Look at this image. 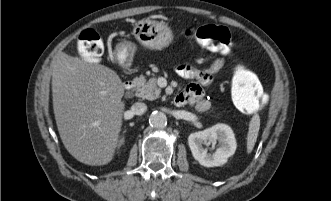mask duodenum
<instances>
[{"mask_svg": "<svg viewBox=\"0 0 331 201\" xmlns=\"http://www.w3.org/2000/svg\"><path fill=\"white\" fill-rule=\"evenodd\" d=\"M135 86H136V81L133 80V79H129V80H127V81L124 82V88L127 91H131L132 89H134ZM174 102L176 104H179L180 103V98H179L178 95L175 97Z\"/></svg>", "mask_w": 331, "mask_h": 201, "instance_id": "410a0bca", "label": "duodenum"}]
</instances>
